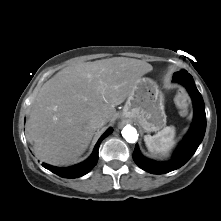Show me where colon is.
<instances>
[{
    "label": "colon",
    "mask_w": 221,
    "mask_h": 221,
    "mask_svg": "<svg viewBox=\"0 0 221 221\" xmlns=\"http://www.w3.org/2000/svg\"><path fill=\"white\" fill-rule=\"evenodd\" d=\"M176 104L177 107L181 110V111H186L188 108V104H189V99L187 94L180 90L176 96Z\"/></svg>",
    "instance_id": "colon-1"
}]
</instances>
